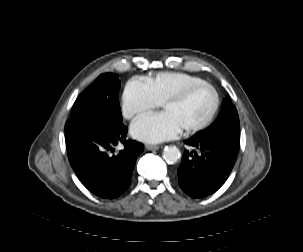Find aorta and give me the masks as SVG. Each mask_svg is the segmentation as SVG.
I'll use <instances>...</instances> for the list:
<instances>
[{
    "label": "aorta",
    "mask_w": 303,
    "mask_h": 252,
    "mask_svg": "<svg viewBox=\"0 0 303 252\" xmlns=\"http://www.w3.org/2000/svg\"><path fill=\"white\" fill-rule=\"evenodd\" d=\"M164 159L170 163H176L180 159V151L176 146H167L163 152Z\"/></svg>",
    "instance_id": "obj_1"
}]
</instances>
